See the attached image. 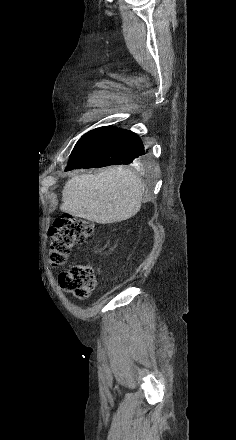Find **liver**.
Listing matches in <instances>:
<instances>
[{"mask_svg": "<svg viewBox=\"0 0 236 440\" xmlns=\"http://www.w3.org/2000/svg\"><path fill=\"white\" fill-rule=\"evenodd\" d=\"M143 192L141 180L133 171L110 167L96 175L83 174L68 180L60 209L100 224L121 222L138 213Z\"/></svg>", "mask_w": 236, "mask_h": 440, "instance_id": "1", "label": "liver"}]
</instances>
